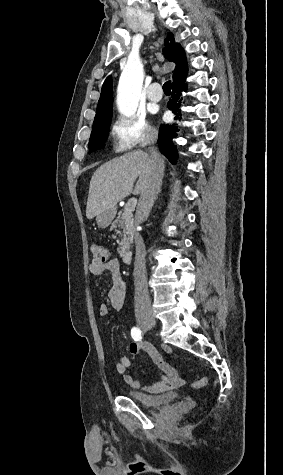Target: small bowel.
I'll return each mask as SVG.
<instances>
[{
	"label": "small bowel",
	"instance_id": "obj_1",
	"mask_svg": "<svg viewBox=\"0 0 283 475\" xmlns=\"http://www.w3.org/2000/svg\"><path fill=\"white\" fill-rule=\"evenodd\" d=\"M109 272L112 277V285L108 292V299L113 309L120 310L125 302L126 283L120 274V263L118 259H111L105 264L91 263L89 265V273L92 276H101ZM98 314L101 317L108 315V306L104 303L98 307ZM144 350L151 358L152 362L163 373L161 380L153 388L157 391H166L180 387L184 384V374L169 365L161 356V354L151 345L147 343L132 344L130 352L132 355L138 354ZM132 365V358L129 356H122L114 364V369L118 374H121L125 382L134 389L141 387V382L132 374L128 372V368Z\"/></svg>",
	"mask_w": 283,
	"mask_h": 475
}]
</instances>
